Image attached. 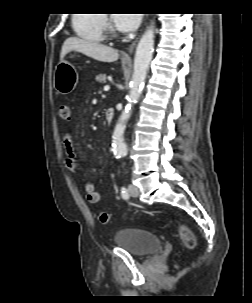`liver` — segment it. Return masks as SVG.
Instances as JSON below:
<instances>
[{
    "label": "liver",
    "mask_w": 252,
    "mask_h": 303,
    "mask_svg": "<svg viewBox=\"0 0 252 303\" xmlns=\"http://www.w3.org/2000/svg\"><path fill=\"white\" fill-rule=\"evenodd\" d=\"M70 51H77L95 60L109 63L116 61L119 57L116 49L79 37H69L64 41L60 53V60Z\"/></svg>",
    "instance_id": "6515ba94"
}]
</instances>
